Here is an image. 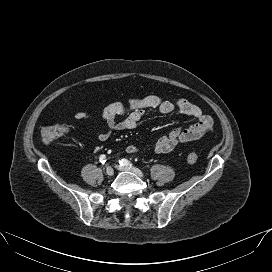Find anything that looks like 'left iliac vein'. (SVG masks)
<instances>
[{
    "label": "left iliac vein",
    "mask_w": 272,
    "mask_h": 272,
    "mask_svg": "<svg viewBox=\"0 0 272 272\" xmlns=\"http://www.w3.org/2000/svg\"><path fill=\"white\" fill-rule=\"evenodd\" d=\"M116 168L120 171H129L134 173L135 175L139 176V177H143L144 174L141 170H139L136 167H131V166H120V165H116Z\"/></svg>",
    "instance_id": "1"
}]
</instances>
